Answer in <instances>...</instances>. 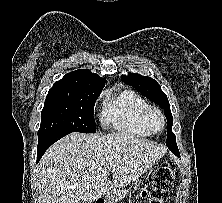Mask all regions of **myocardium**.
<instances>
[{"instance_id":"obj_1","label":"myocardium","mask_w":222,"mask_h":203,"mask_svg":"<svg viewBox=\"0 0 222 203\" xmlns=\"http://www.w3.org/2000/svg\"><path fill=\"white\" fill-rule=\"evenodd\" d=\"M152 113H155L157 114L160 119H161V122H162V127L160 130L156 131L152 128L151 124H150V115ZM142 122L144 124V126L152 133V134H159L161 133L164 128H165V125H166V121H165V117L162 113V111L156 107V106H152V105H148L142 112Z\"/></svg>"}]
</instances>
